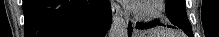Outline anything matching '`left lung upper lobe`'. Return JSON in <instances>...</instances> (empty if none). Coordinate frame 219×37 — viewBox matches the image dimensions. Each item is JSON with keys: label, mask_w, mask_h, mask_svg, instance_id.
<instances>
[{"label": "left lung upper lobe", "mask_w": 219, "mask_h": 37, "mask_svg": "<svg viewBox=\"0 0 219 37\" xmlns=\"http://www.w3.org/2000/svg\"><path fill=\"white\" fill-rule=\"evenodd\" d=\"M167 16L170 21L185 33H192L191 24L187 19L185 0H166Z\"/></svg>", "instance_id": "left-lung-upper-lobe-1"}]
</instances>
